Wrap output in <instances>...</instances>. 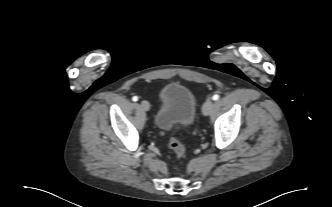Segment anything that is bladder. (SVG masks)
<instances>
[{"label":"bladder","mask_w":332,"mask_h":207,"mask_svg":"<svg viewBox=\"0 0 332 207\" xmlns=\"http://www.w3.org/2000/svg\"><path fill=\"white\" fill-rule=\"evenodd\" d=\"M197 100L188 86L169 83L159 91V108L155 115V126L162 131L175 127H188L195 119Z\"/></svg>","instance_id":"31cf9c89"}]
</instances>
